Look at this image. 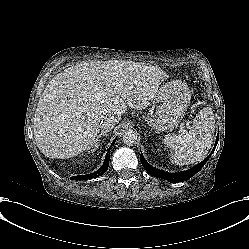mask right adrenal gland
<instances>
[{"instance_id": "2a0ac1e0", "label": "right adrenal gland", "mask_w": 249, "mask_h": 249, "mask_svg": "<svg viewBox=\"0 0 249 249\" xmlns=\"http://www.w3.org/2000/svg\"><path fill=\"white\" fill-rule=\"evenodd\" d=\"M101 136H105V134L102 132L101 134H99V136H98V139H97V141H96V143H95V145H94V149L92 150V151H95V149H97L99 146H100V141H101V139H99Z\"/></svg>"}]
</instances>
